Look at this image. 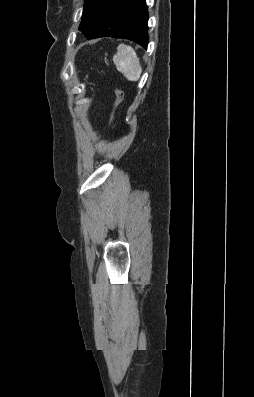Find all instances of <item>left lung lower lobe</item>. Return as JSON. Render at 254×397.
<instances>
[{"label": "left lung lower lobe", "instance_id": "obj_1", "mask_svg": "<svg viewBox=\"0 0 254 397\" xmlns=\"http://www.w3.org/2000/svg\"><path fill=\"white\" fill-rule=\"evenodd\" d=\"M104 14L87 38L116 37L132 40L147 49L148 12L145 0H108Z\"/></svg>", "mask_w": 254, "mask_h": 397}]
</instances>
